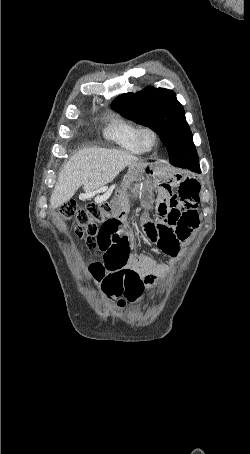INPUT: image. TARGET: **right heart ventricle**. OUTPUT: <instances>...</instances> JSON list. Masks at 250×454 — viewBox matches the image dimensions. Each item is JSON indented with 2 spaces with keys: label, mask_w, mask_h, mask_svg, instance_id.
<instances>
[{
  "label": "right heart ventricle",
  "mask_w": 250,
  "mask_h": 454,
  "mask_svg": "<svg viewBox=\"0 0 250 454\" xmlns=\"http://www.w3.org/2000/svg\"><path fill=\"white\" fill-rule=\"evenodd\" d=\"M139 125L121 116L110 119L104 129V137L120 149L133 154H143L145 150L138 142Z\"/></svg>",
  "instance_id": "right-heart-ventricle-1"
}]
</instances>
